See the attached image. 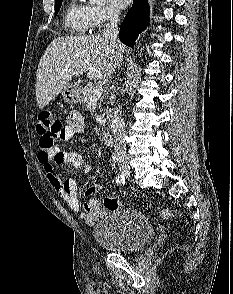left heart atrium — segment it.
<instances>
[{
  "label": "left heart atrium",
  "mask_w": 233,
  "mask_h": 294,
  "mask_svg": "<svg viewBox=\"0 0 233 294\" xmlns=\"http://www.w3.org/2000/svg\"><path fill=\"white\" fill-rule=\"evenodd\" d=\"M131 1L132 0H111V2L119 8L127 7L131 3Z\"/></svg>",
  "instance_id": "left-heart-atrium-1"
}]
</instances>
